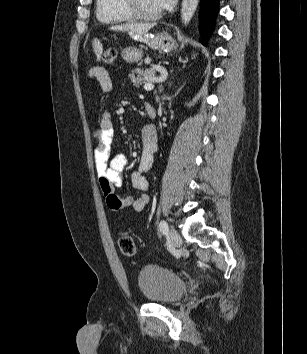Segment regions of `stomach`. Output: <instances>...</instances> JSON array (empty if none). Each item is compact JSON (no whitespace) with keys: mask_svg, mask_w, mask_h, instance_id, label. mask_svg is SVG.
I'll list each match as a JSON object with an SVG mask.
<instances>
[{"mask_svg":"<svg viewBox=\"0 0 307 354\" xmlns=\"http://www.w3.org/2000/svg\"><path fill=\"white\" fill-rule=\"evenodd\" d=\"M135 39L147 44L153 49L161 51L169 52L175 47L173 38L166 32L157 33L155 35H136ZM142 55V51L135 47H127L122 51V57L128 63L139 61L142 58Z\"/></svg>","mask_w":307,"mask_h":354,"instance_id":"stomach-1","label":"stomach"}]
</instances>
